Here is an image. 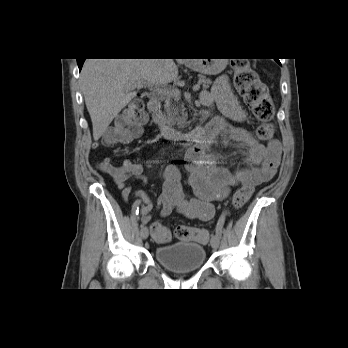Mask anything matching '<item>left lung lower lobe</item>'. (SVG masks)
I'll return each instance as SVG.
<instances>
[{
    "mask_svg": "<svg viewBox=\"0 0 348 348\" xmlns=\"http://www.w3.org/2000/svg\"><path fill=\"white\" fill-rule=\"evenodd\" d=\"M275 60H276V59H275ZM276 62L280 64V61H279V60H276Z\"/></svg>",
    "mask_w": 348,
    "mask_h": 348,
    "instance_id": "left-lung-lower-lobe-1",
    "label": "left lung lower lobe"
}]
</instances>
